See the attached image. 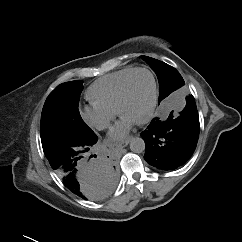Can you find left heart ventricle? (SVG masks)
I'll list each match as a JSON object with an SVG mask.
<instances>
[{
    "mask_svg": "<svg viewBox=\"0 0 242 242\" xmlns=\"http://www.w3.org/2000/svg\"><path fill=\"white\" fill-rule=\"evenodd\" d=\"M153 93L151 77L146 72L136 73L130 80L125 100L121 106V116L135 122L144 118L149 110Z\"/></svg>",
    "mask_w": 242,
    "mask_h": 242,
    "instance_id": "obj_1",
    "label": "left heart ventricle"
}]
</instances>
